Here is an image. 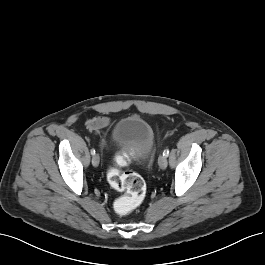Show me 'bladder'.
Listing matches in <instances>:
<instances>
[{"label": "bladder", "mask_w": 265, "mask_h": 265, "mask_svg": "<svg viewBox=\"0 0 265 265\" xmlns=\"http://www.w3.org/2000/svg\"><path fill=\"white\" fill-rule=\"evenodd\" d=\"M113 144L117 149H130L133 158L145 160L154 146L153 129L143 117H124L114 127Z\"/></svg>", "instance_id": "31cf9c89"}]
</instances>
